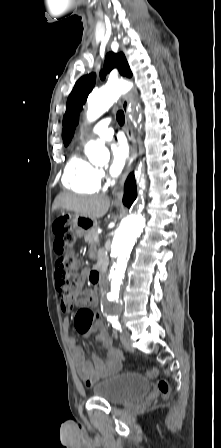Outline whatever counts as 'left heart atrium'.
<instances>
[{"instance_id": "1", "label": "left heart atrium", "mask_w": 221, "mask_h": 448, "mask_svg": "<svg viewBox=\"0 0 221 448\" xmlns=\"http://www.w3.org/2000/svg\"><path fill=\"white\" fill-rule=\"evenodd\" d=\"M128 156L127 147L123 143H114L111 145V163L109 171L111 175H119L126 163Z\"/></svg>"}]
</instances>
